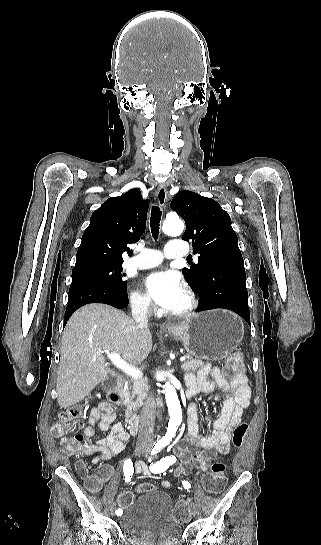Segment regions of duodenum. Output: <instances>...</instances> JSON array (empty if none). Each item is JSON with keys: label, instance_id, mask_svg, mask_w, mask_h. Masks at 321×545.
<instances>
[{"label": "duodenum", "instance_id": "410a0bca", "mask_svg": "<svg viewBox=\"0 0 321 545\" xmlns=\"http://www.w3.org/2000/svg\"><path fill=\"white\" fill-rule=\"evenodd\" d=\"M104 389L108 394L109 400L113 403L121 404L124 402V380L120 377H109L104 381ZM160 400L158 404L160 405ZM139 417L132 411H128L126 424L131 435H136L139 426Z\"/></svg>", "mask_w": 321, "mask_h": 545}]
</instances>
